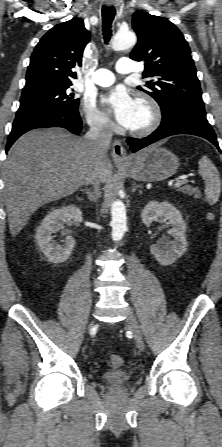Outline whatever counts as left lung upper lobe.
<instances>
[{"label": "left lung upper lobe", "mask_w": 222, "mask_h": 447, "mask_svg": "<svg viewBox=\"0 0 222 447\" xmlns=\"http://www.w3.org/2000/svg\"><path fill=\"white\" fill-rule=\"evenodd\" d=\"M132 26L138 42L130 58L145 62V77L154 78L138 87L160 105L162 115L174 107L205 113L191 51L180 30L163 17L138 10Z\"/></svg>", "instance_id": "obj_1"}]
</instances>
